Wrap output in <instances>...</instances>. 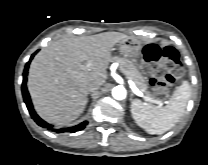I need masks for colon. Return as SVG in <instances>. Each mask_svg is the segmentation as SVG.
<instances>
[{
	"label": "colon",
	"instance_id": "5ec220e1",
	"mask_svg": "<svg viewBox=\"0 0 208 165\" xmlns=\"http://www.w3.org/2000/svg\"><path fill=\"white\" fill-rule=\"evenodd\" d=\"M143 59V70L152 74V88L161 96L167 95L172 90L176 77L182 72L178 51L171 46L160 48L148 44L143 50Z\"/></svg>",
	"mask_w": 208,
	"mask_h": 165
}]
</instances>
